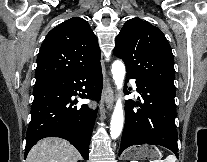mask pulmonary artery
<instances>
[{"instance_id":"1","label":"pulmonary artery","mask_w":207,"mask_h":162,"mask_svg":"<svg viewBox=\"0 0 207 162\" xmlns=\"http://www.w3.org/2000/svg\"><path fill=\"white\" fill-rule=\"evenodd\" d=\"M131 85H132V87L136 90L137 89V86H136V83H135V81H131Z\"/></svg>"}]
</instances>
